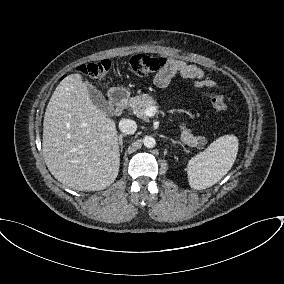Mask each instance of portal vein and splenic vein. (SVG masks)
<instances>
[{"mask_svg": "<svg viewBox=\"0 0 284 284\" xmlns=\"http://www.w3.org/2000/svg\"><path fill=\"white\" fill-rule=\"evenodd\" d=\"M156 112H157L156 107L151 106V107H148V108L145 110V115L148 116V117H151V116L155 115Z\"/></svg>", "mask_w": 284, "mask_h": 284, "instance_id": "obj_1", "label": "portal vein and splenic vein"}]
</instances>
